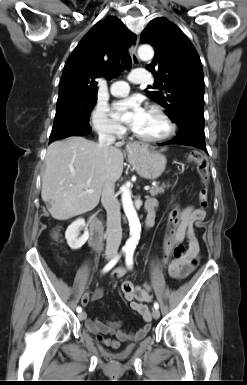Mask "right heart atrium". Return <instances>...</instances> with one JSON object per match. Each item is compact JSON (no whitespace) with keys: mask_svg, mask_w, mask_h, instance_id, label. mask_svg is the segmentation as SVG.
Instances as JSON below:
<instances>
[{"mask_svg":"<svg viewBox=\"0 0 247 385\" xmlns=\"http://www.w3.org/2000/svg\"><path fill=\"white\" fill-rule=\"evenodd\" d=\"M93 129L100 135L120 137L124 134V128L116 122L108 112L105 105L98 104L91 113Z\"/></svg>","mask_w":247,"mask_h":385,"instance_id":"right-heart-atrium-1","label":"right heart atrium"}]
</instances>
